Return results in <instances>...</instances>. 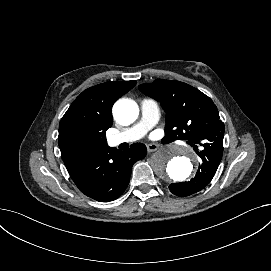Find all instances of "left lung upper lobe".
I'll return each instance as SVG.
<instances>
[{"label":"left lung upper lobe","mask_w":271,"mask_h":271,"mask_svg":"<svg viewBox=\"0 0 271 271\" xmlns=\"http://www.w3.org/2000/svg\"><path fill=\"white\" fill-rule=\"evenodd\" d=\"M139 90L159 101L167 113L163 140H188L223 152L224 123L204 93L186 83L164 79L141 84Z\"/></svg>","instance_id":"1"}]
</instances>
